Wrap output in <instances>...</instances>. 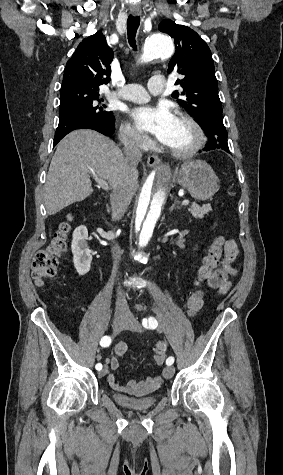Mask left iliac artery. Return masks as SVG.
Returning a JSON list of instances; mask_svg holds the SVG:
<instances>
[{
    "instance_id": "1",
    "label": "left iliac artery",
    "mask_w": 283,
    "mask_h": 475,
    "mask_svg": "<svg viewBox=\"0 0 283 475\" xmlns=\"http://www.w3.org/2000/svg\"><path fill=\"white\" fill-rule=\"evenodd\" d=\"M142 325L145 327V328H150V329H155L158 325L157 323V320L154 318V317H149L148 319L147 318H144L142 320ZM174 363V357H168V359L166 360V364L168 366L172 365Z\"/></svg>"
}]
</instances>
